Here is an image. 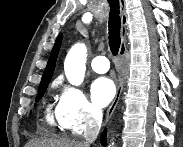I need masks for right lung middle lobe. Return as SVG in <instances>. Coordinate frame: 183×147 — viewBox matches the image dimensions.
<instances>
[{
	"label": "right lung middle lobe",
	"mask_w": 183,
	"mask_h": 147,
	"mask_svg": "<svg viewBox=\"0 0 183 147\" xmlns=\"http://www.w3.org/2000/svg\"><path fill=\"white\" fill-rule=\"evenodd\" d=\"M46 89H47V86H44V87H40L39 88V92H38V96L36 98V101L40 100L43 97Z\"/></svg>",
	"instance_id": "1"
}]
</instances>
